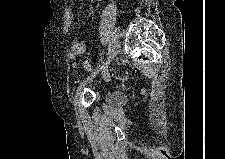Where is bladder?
Here are the masks:
<instances>
[{"instance_id":"1","label":"bladder","mask_w":225,"mask_h":159,"mask_svg":"<svg viewBox=\"0 0 225 159\" xmlns=\"http://www.w3.org/2000/svg\"><path fill=\"white\" fill-rule=\"evenodd\" d=\"M107 102L110 105L119 106L124 103V98L122 95L112 92L107 96Z\"/></svg>"}]
</instances>
